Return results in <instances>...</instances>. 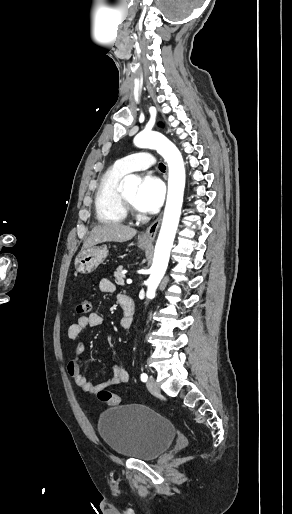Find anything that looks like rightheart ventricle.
<instances>
[{
    "mask_svg": "<svg viewBox=\"0 0 292 514\" xmlns=\"http://www.w3.org/2000/svg\"><path fill=\"white\" fill-rule=\"evenodd\" d=\"M124 174L108 169L100 178L94 195V211L100 223H121L126 214L119 208L116 201L118 183Z\"/></svg>",
    "mask_w": 292,
    "mask_h": 514,
    "instance_id": "1",
    "label": "right heart ventricle"
}]
</instances>
